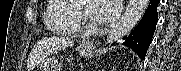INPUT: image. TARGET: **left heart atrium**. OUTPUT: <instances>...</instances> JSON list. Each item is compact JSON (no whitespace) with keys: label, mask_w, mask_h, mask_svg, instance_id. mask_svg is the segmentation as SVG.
<instances>
[{"label":"left heart atrium","mask_w":181,"mask_h":71,"mask_svg":"<svg viewBox=\"0 0 181 71\" xmlns=\"http://www.w3.org/2000/svg\"><path fill=\"white\" fill-rule=\"evenodd\" d=\"M120 11L119 0H102L96 1L95 14L89 9L90 18L101 24L112 22Z\"/></svg>","instance_id":"left-heart-atrium-1"}]
</instances>
